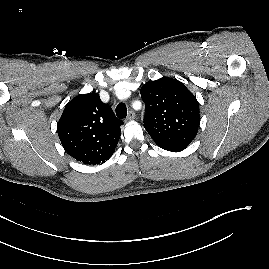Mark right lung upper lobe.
Instances as JSON below:
<instances>
[{
    "mask_svg": "<svg viewBox=\"0 0 269 269\" xmlns=\"http://www.w3.org/2000/svg\"><path fill=\"white\" fill-rule=\"evenodd\" d=\"M123 121L97 93L79 95L66 106L57 132L66 152L85 164H103L115 151Z\"/></svg>",
    "mask_w": 269,
    "mask_h": 269,
    "instance_id": "1",
    "label": "right lung upper lobe"
}]
</instances>
